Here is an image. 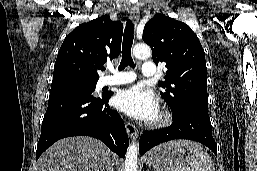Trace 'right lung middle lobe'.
Here are the masks:
<instances>
[{
    "instance_id": "dd1d6c3e",
    "label": "right lung middle lobe",
    "mask_w": 257,
    "mask_h": 171,
    "mask_svg": "<svg viewBox=\"0 0 257 171\" xmlns=\"http://www.w3.org/2000/svg\"><path fill=\"white\" fill-rule=\"evenodd\" d=\"M96 87V82L92 83H77V84H69L66 86H52L50 94L65 92V91H85L89 93H93Z\"/></svg>"
}]
</instances>
